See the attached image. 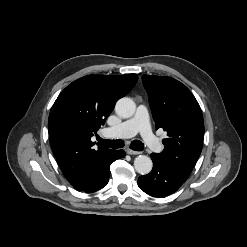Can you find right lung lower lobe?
I'll list each match as a JSON object with an SVG mask.
<instances>
[{
	"instance_id": "obj_1",
	"label": "right lung lower lobe",
	"mask_w": 247,
	"mask_h": 247,
	"mask_svg": "<svg viewBox=\"0 0 247 247\" xmlns=\"http://www.w3.org/2000/svg\"><path fill=\"white\" fill-rule=\"evenodd\" d=\"M125 152L123 150H114L112 154L110 155L105 167L102 169V171L98 174L96 178H94L91 182L86 184L85 186L81 188H76L79 191H83L85 193H91L98 189H102L105 187L109 181L110 176V165L113 161H115L118 158L124 157Z\"/></svg>"
}]
</instances>
